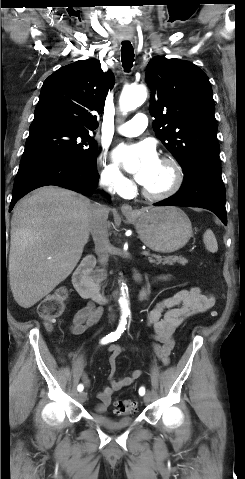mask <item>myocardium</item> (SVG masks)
<instances>
[{"label":"myocardium","mask_w":245,"mask_h":479,"mask_svg":"<svg viewBox=\"0 0 245 479\" xmlns=\"http://www.w3.org/2000/svg\"><path fill=\"white\" fill-rule=\"evenodd\" d=\"M160 162L168 165L171 169V182L168 187L160 192H152L142 187L143 196L152 201H161L175 195L181 188L184 180V172L180 163L170 155H164L160 158Z\"/></svg>","instance_id":"myocardium-1"}]
</instances>
